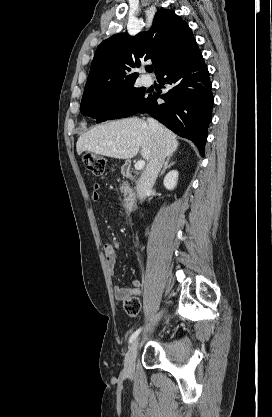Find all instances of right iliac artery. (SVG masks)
<instances>
[{
	"label": "right iliac artery",
	"mask_w": 272,
	"mask_h": 417,
	"mask_svg": "<svg viewBox=\"0 0 272 417\" xmlns=\"http://www.w3.org/2000/svg\"><path fill=\"white\" fill-rule=\"evenodd\" d=\"M140 331H141V328H139L138 330H136L132 335H131V337H130V339H129V343H132L136 338H137V336L139 335V333H140Z\"/></svg>",
	"instance_id": "right-iliac-artery-1"
}]
</instances>
